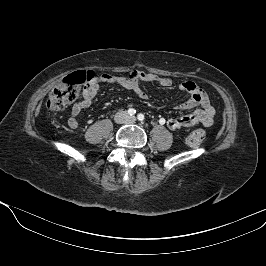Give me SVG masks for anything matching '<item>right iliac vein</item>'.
<instances>
[{"mask_svg": "<svg viewBox=\"0 0 266 266\" xmlns=\"http://www.w3.org/2000/svg\"><path fill=\"white\" fill-rule=\"evenodd\" d=\"M124 119H125V115H124L123 113H119V114L115 117V120H116L117 122H122V121H124Z\"/></svg>", "mask_w": 266, "mask_h": 266, "instance_id": "63e3f726", "label": "right iliac vein"}]
</instances>
